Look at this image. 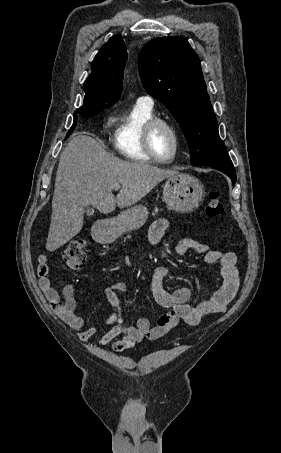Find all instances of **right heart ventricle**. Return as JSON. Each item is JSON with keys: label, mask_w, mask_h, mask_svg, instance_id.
<instances>
[{"label": "right heart ventricle", "mask_w": 281, "mask_h": 453, "mask_svg": "<svg viewBox=\"0 0 281 453\" xmlns=\"http://www.w3.org/2000/svg\"><path fill=\"white\" fill-rule=\"evenodd\" d=\"M157 116L148 99H138L122 111L118 118L113 145L124 159L151 162L144 146L146 125Z\"/></svg>", "instance_id": "right-heart-ventricle-1"}]
</instances>
